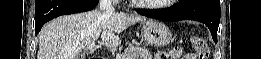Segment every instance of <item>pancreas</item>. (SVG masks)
Instances as JSON below:
<instances>
[{
    "label": "pancreas",
    "mask_w": 261,
    "mask_h": 59,
    "mask_svg": "<svg viewBox=\"0 0 261 59\" xmlns=\"http://www.w3.org/2000/svg\"><path fill=\"white\" fill-rule=\"evenodd\" d=\"M117 59H152V54L144 47L129 46Z\"/></svg>",
    "instance_id": "pancreas-1"
}]
</instances>
